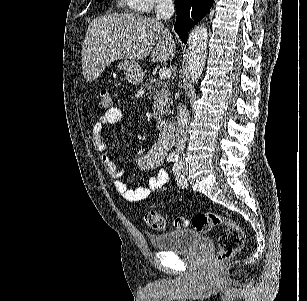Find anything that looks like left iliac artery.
<instances>
[{"mask_svg":"<svg viewBox=\"0 0 307 301\" xmlns=\"http://www.w3.org/2000/svg\"><path fill=\"white\" fill-rule=\"evenodd\" d=\"M181 168H182V163L181 161H176L174 163V166H173V173L174 175L176 176V179H177V183L179 185H185L187 184V181L186 179L184 178V176L181 174Z\"/></svg>","mask_w":307,"mask_h":301,"instance_id":"obj_1","label":"left iliac artery"}]
</instances>
